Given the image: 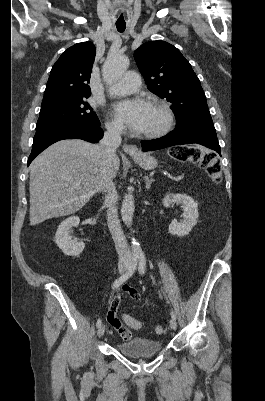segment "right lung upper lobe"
I'll use <instances>...</instances> for the list:
<instances>
[{
  "label": "right lung upper lobe",
  "instance_id": "obj_1",
  "mask_svg": "<svg viewBox=\"0 0 265 401\" xmlns=\"http://www.w3.org/2000/svg\"><path fill=\"white\" fill-rule=\"evenodd\" d=\"M96 48L91 42L75 44L62 53L51 69L42 104L91 94L88 85Z\"/></svg>",
  "mask_w": 265,
  "mask_h": 401
}]
</instances>
